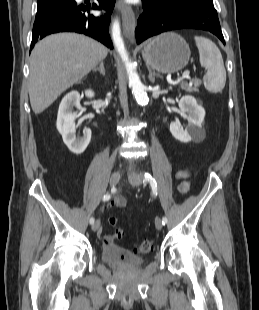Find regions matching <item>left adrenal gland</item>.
<instances>
[{
	"label": "left adrenal gland",
	"instance_id": "left-adrenal-gland-1",
	"mask_svg": "<svg viewBox=\"0 0 259 310\" xmlns=\"http://www.w3.org/2000/svg\"><path fill=\"white\" fill-rule=\"evenodd\" d=\"M148 71H149V81L151 83H154L155 82V77L157 78H161V76L159 74H156L154 71H152L149 67H148Z\"/></svg>",
	"mask_w": 259,
	"mask_h": 310
}]
</instances>
